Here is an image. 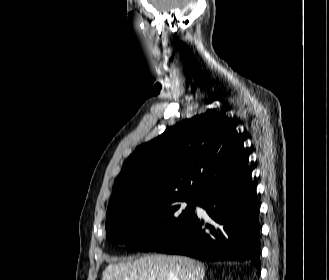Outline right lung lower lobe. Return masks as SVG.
<instances>
[{"mask_svg": "<svg viewBox=\"0 0 329 280\" xmlns=\"http://www.w3.org/2000/svg\"><path fill=\"white\" fill-rule=\"evenodd\" d=\"M197 205L211 220L195 214L176 237L154 251L202 261H247L260 271L259 208L248 161L213 182Z\"/></svg>", "mask_w": 329, "mask_h": 280, "instance_id": "1", "label": "right lung lower lobe"}]
</instances>
